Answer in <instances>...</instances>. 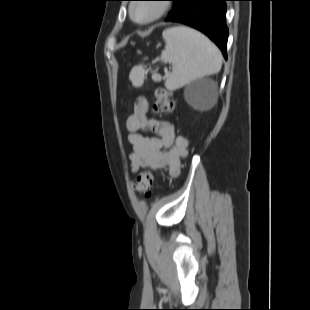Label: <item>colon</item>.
I'll list each match as a JSON object with an SVG mask.
<instances>
[{"mask_svg": "<svg viewBox=\"0 0 310 310\" xmlns=\"http://www.w3.org/2000/svg\"><path fill=\"white\" fill-rule=\"evenodd\" d=\"M155 80H159V76H155ZM174 108L172 93L164 88H158L155 91V101L153 110L156 113H168ZM154 175L151 170L142 171L136 178L133 187L138 193H146L153 186Z\"/></svg>", "mask_w": 310, "mask_h": 310, "instance_id": "5ec220e1", "label": "colon"}]
</instances>
